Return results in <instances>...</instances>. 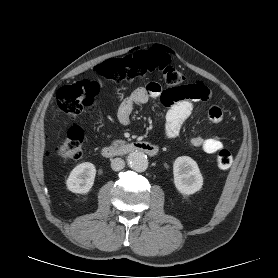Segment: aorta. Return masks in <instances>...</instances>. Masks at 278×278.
Segmentation results:
<instances>
[{
  "mask_svg": "<svg viewBox=\"0 0 278 278\" xmlns=\"http://www.w3.org/2000/svg\"><path fill=\"white\" fill-rule=\"evenodd\" d=\"M129 167L136 172H144L148 168L147 156L141 151H135L128 155Z\"/></svg>",
  "mask_w": 278,
  "mask_h": 278,
  "instance_id": "aorta-1",
  "label": "aorta"
}]
</instances>
